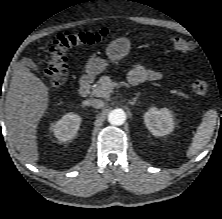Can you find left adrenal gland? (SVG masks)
<instances>
[{"instance_id": "obj_1", "label": "left adrenal gland", "mask_w": 222, "mask_h": 219, "mask_svg": "<svg viewBox=\"0 0 222 219\" xmlns=\"http://www.w3.org/2000/svg\"><path fill=\"white\" fill-rule=\"evenodd\" d=\"M139 95H140V93H137L136 96L132 100L129 101V104L130 105L136 104V101H137Z\"/></svg>"}]
</instances>
